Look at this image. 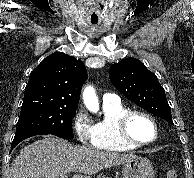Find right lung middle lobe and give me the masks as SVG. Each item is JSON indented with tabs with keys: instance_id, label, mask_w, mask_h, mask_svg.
<instances>
[{
	"instance_id": "1",
	"label": "right lung middle lobe",
	"mask_w": 194,
	"mask_h": 178,
	"mask_svg": "<svg viewBox=\"0 0 194 178\" xmlns=\"http://www.w3.org/2000/svg\"><path fill=\"white\" fill-rule=\"evenodd\" d=\"M78 106L46 98L24 100L16 134L39 131L61 138H74L72 119Z\"/></svg>"
}]
</instances>
